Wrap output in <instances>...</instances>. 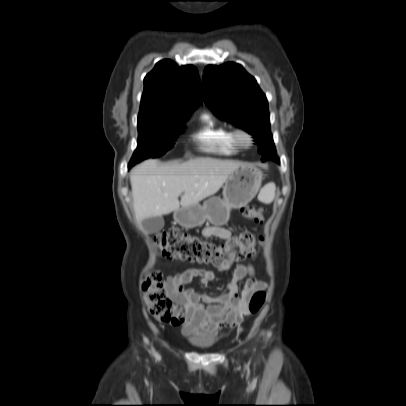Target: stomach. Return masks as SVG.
<instances>
[{"instance_id":"stomach-1","label":"stomach","mask_w":406,"mask_h":406,"mask_svg":"<svg viewBox=\"0 0 406 406\" xmlns=\"http://www.w3.org/2000/svg\"><path fill=\"white\" fill-rule=\"evenodd\" d=\"M263 179L262 172L254 166L236 169L226 180L223 199L210 197L203 205L194 204L174 212V219L181 226L193 228L206 220L215 226H222L229 220L233 208L247 205L257 194Z\"/></svg>"}]
</instances>
